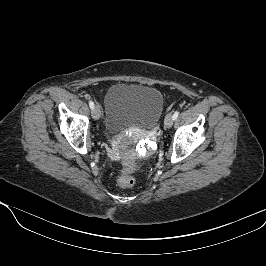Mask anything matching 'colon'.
I'll return each mask as SVG.
<instances>
[{
    "label": "colon",
    "instance_id": "5ec220e1",
    "mask_svg": "<svg viewBox=\"0 0 266 266\" xmlns=\"http://www.w3.org/2000/svg\"><path fill=\"white\" fill-rule=\"evenodd\" d=\"M135 168L134 163L127 162L124 167L123 171L117 175L116 182L122 188H130L135 184L134 178L131 176Z\"/></svg>",
    "mask_w": 266,
    "mask_h": 266
}]
</instances>
